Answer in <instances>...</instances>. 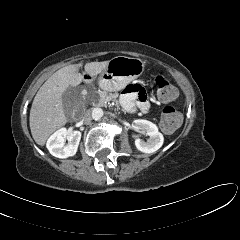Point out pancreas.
<instances>
[{
  "label": "pancreas",
  "instance_id": "cf45deb5",
  "mask_svg": "<svg viewBox=\"0 0 240 240\" xmlns=\"http://www.w3.org/2000/svg\"><path fill=\"white\" fill-rule=\"evenodd\" d=\"M96 95H97L98 99L93 102V105L99 106V107H106L108 105V101H109L108 93L105 91H97Z\"/></svg>",
  "mask_w": 240,
  "mask_h": 240
}]
</instances>
